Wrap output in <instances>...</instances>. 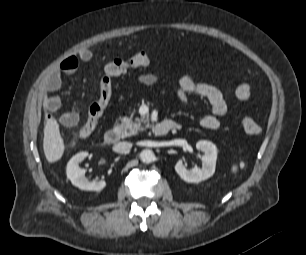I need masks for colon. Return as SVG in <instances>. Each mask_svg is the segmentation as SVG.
<instances>
[{
    "label": "colon",
    "instance_id": "1",
    "mask_svg": "<svg viewBox=\"0 0 306 255\" xmlns=\"http://www.w3.org/2000/svg\"><path fill=\"white\" fill-rule=\"evenodd\" d=\"M149 61L148 54L144 51H139L128 59L115 58L105 63L103 74L99 81V96L89 108L87 120L79 131L80 138H86L94 132L107 108L112 97L111 78L123 75L132 69L144 67L149 64ZM239 123L242 129L250 136H257L262 131L260 125L250 117L241 118Z\"/></svg>",
    "mask_w": 306,
    "mask_h": 255
}]
</instances>
